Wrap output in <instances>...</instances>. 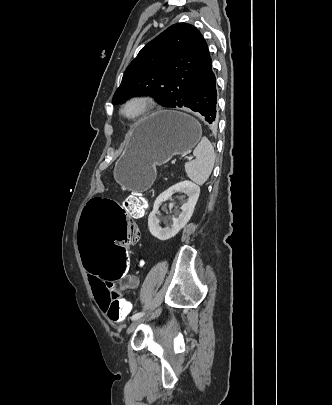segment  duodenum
<instances>
[{"mask_svg": "<svg viewBox=\"0 0 332 405\" xmlns=\"http://www.w3.org/2000/svg\"><path fill=\"white\" fill-rule=\"evenodd\" d=\"M136 217H140V214H137Z\"/></svg>", "mask_w": 332, "mask_h": 405, "instance_id": "1", "label": "duodenum"}]
</instances>
